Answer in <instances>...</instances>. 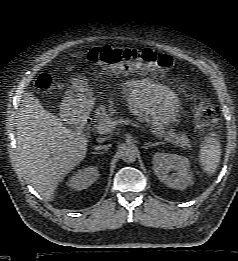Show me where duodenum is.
<instances>
[{
  "instance_id": "410a0bca",
  "label": "duodenum",
  "mask_w": 238,
  "mask_h": 261,
  "mask_svg": "<svg viewBox=\"0 0 238 261\" xmlns=\"http://www.w3.org/2000/svg\"><path fill=\"white\" fill-rule=\"evenodd\" d=\"M73 121L81 130L88 128L91 123V120L88 116H77L73 118Z\"/></svg>"
}]
</instances>
